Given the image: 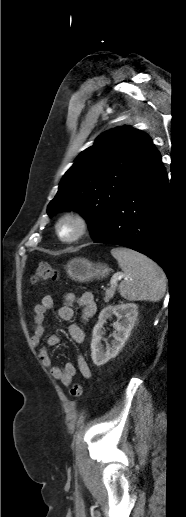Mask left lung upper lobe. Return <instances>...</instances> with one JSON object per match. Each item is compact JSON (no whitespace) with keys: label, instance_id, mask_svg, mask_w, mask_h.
Returning <instances> with one entry per match:
<instances>
[{"label":"left lung upper lobe","instance_id":"left-lung-upper-lobe-1","mask_svg":"<svg viewBox=\"0 0 186 517\" xmlns=\"http://www.w3.org/2000/svg\"><path fill=\"white\" fill-rule=\"evenodd\" d=\"M158 155L140 130L125 126L101 134L65 173L47 213L65 208L80 212L94 238L111 209Z\"/></svg>","mask_w":186,"mask_h":517}]
</instances>
